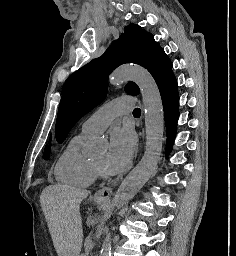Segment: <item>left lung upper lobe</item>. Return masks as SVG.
<instances>
[{
	"instance_id": "1",
	"label": "left lung upper lobe",
	"mask_w": 236,
	"mask_h": 256,
	"mask_svg": "<svg viewBox=\"0 0 236 256\" xmlns=\"http://www.w3.org/2000/svg\"><path fill=\"white\" fill-rule=\"evenodd\" d=\"M124 63H136L146 68L156 83L171 71L172 64L153 35L140 26L130 24L106 52L77 70L66 82L59 105L55 136L62 143L76 122L107 95L108 76ZM125 91L139 94L138 86L129 82Z\"/></svg>"
}]
</instances>
